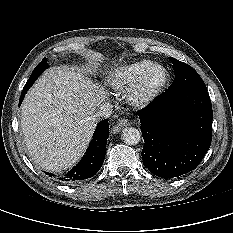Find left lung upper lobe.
I'll return each instance as SVG.
<instances>
[{"label":"left lung upper lobe","instance_id":"left-lung-upper-lobe-1","mask_svg":"<svg viewBox=\"0 0 233 233\" xmlns=\"http://www.w3.org/2000/svg\"><path fill=\"white\" fill-rule=\"evenodd\" d=\"M175 70L174 82L167 91H178L182 89H207L199 74L188 64H185L173 57H170Z\"/></svg>","mask_w":233,"mask_h":233}]
</instances>
